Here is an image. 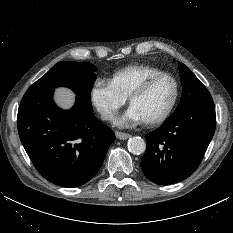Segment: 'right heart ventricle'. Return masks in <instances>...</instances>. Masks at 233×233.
<instances>
[{"instance_id":"obj_1","label":"right heart ventricle","mask_w":233,"mask_h":233,"mask_svg":"<svg viewBox=\"0 0 233 233\" xmlns=\"http://www.w3.org/2000/svg\"><path fill=\"white\" fill-rule=\"evenodd\" d=\"M161 72L162 70L159 68L150 65H129L117 70L110 81L125 98H128L132 91L146 78Z\"/></svg>"}]
</instances>
